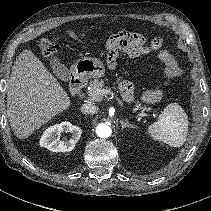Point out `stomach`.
<instances>
[{"mask_svg": "<svg viewBox=\"0 0 211 211\" xmlns=\"http://www.w3.org/2000/svg\"><path fill=\"white\" fill-rule=\"evenodd\" d=\"M72 72L81 78H100L105 75V66L95 58H81L72 66Z\"/></svg>", "mask_w": 211, "mask_h": 211, "instance_id": "0dacf381", "label": "stomach"}]
</instances>
